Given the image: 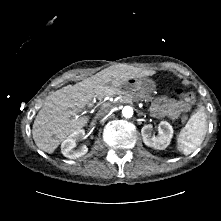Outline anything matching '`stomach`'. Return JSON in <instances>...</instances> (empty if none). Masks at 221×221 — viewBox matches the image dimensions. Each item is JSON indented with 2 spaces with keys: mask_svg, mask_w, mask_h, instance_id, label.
<instances>
[{
  "mask_svg": "<svg viewBox=\"0 0 221 221\" xmlns=\"http://www.w3.org/2000/svg\"><path fill=\"white\" fill-rule=\"evenodd\" d=\"M126 93H131L134 96H144L151 92L152 81L142 76H132L127 79L122 85Z\"/></svg>",
  "mask_w": 221,
  "mask_h": 221,
  "instance_id": "0dacf381",
  "label": "stomach"
}]
</instances>
